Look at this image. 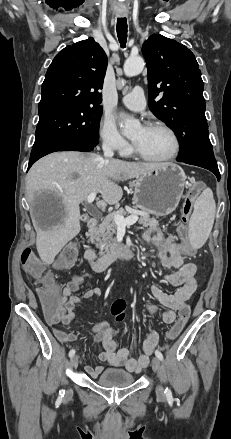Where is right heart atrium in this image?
I'll use <instances>...</instances> for the list:
<instances>
[{
  "instance_id": "right-heart-atrium-1",
  "label": "right heart atrium",
  "mask_w": 231,
  "mask_h": 439,
  "mask_svg": "<svg viewBox=\"0 0 231 439\" xmlns=\"http://www.w3.org/2000/svg\"><path fill=\"white\" fill-rule=\"evenodd\" d=\"M99 136L104 148L121 155L130 153V145L118 132L112 119L106 117L101 121L99 126Z\"/></svg>"
}]
</instances>
